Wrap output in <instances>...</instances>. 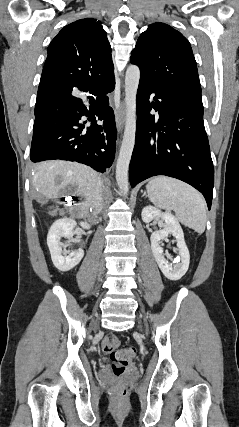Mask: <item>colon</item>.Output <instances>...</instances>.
I'll return each mask as SVG.
<instances>
[{
  "instance_id": "1",
  "label": "colon",
  "mask_w": 239,
  "mask_h": 427,
  "mask_svg": "<svg viewBox=\"0 0 239 427\" xmlns=\"http://www.w3.org/2000/svg\"><path fill=\"white\" fill-rule=\"evenodd\" d=\"M135 356L136 349L133 347L114 350L110 354L112 372L116 378V383L113 386V395L118 400H122L127 393L123 375L127 368L132 364Z\"/></svg>"
}]
</instances>
